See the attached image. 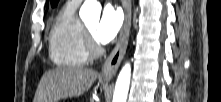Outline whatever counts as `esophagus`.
I'll list each match as a JSON object with an SVG mask.
<instances>
[{
	"mask_svg": "<svg viewBox=\"0 0 221 102\" xmlns=\"http://www.w3.org/2000/svg\"><path fill=\"white\" fill-rule=\"evenodd\" d=\"M123 5L125 8L124 25L121 30L120 37L116 46L114 47V49L107 57V59L105 60L102 66L100 77L103 79H111L115 76L128 45V39L131 27V0H124Z\"/></svg>",
	"mask_w": 221,
	"mask_h": 102,
	"instance_id": "1",
	"label": "esophagus"
}]
</instances>
